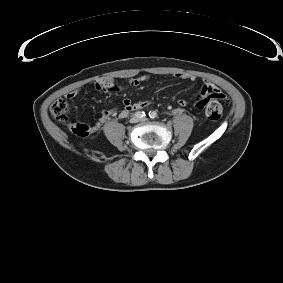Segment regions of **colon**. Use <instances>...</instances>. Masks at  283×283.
Here are the masks:
<instances>
[{
  "label": "colon",
  "instance_id": "5ec220e1",
  "mask_svg": "<svg viewBox=\"0 0 283 283\" xmlns=\"http://www.w3.org/2000/svg\"><path fill=\"white\" fill-rule=\"evenodd\" d=\"M221 101H226L223 93H219L214 101H212L206 108V116L210 120H219L223 113V106ZM52 116L59 122H64L68 118L69 105L63 98L55 100L50 107ZM73 132L79 136H87L92 132V128L88 124L77 123L73 125Z\"/></svg>",
  "mask_w": 283,
  "mask_h": 283
}]
</instances>
